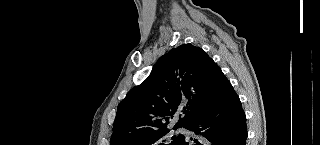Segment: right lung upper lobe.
<instances>
[{"instance_id": "obj_1", "label": "right lung upper lobe", "mask_w": 320, "mask_h": 145, "mask_svg": "<svg viewBox=\"0 0 320 145\" xmlns=\"http://www.w3.org/2000/svg\"><path fill=\"white\" fill-rule=\"evenodd\" d=\"M222 76L200 47L189 43L172 49L119 104L110 145H132L166 128L177 109L183 114L174 127H184L209 109Z\"/></svg>"}]
</instances>
